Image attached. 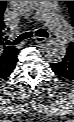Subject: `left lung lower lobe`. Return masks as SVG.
<instances>
[{
  "label": "left lung lower lobe",
  "instance_id": "left-lung-lower-lobe-1",
  "mask_svg": "<svg viewBox=\"0 0 74 122\" xmlns=\"http://www.w3.org/2000/svg\"><path fill=\"white\" fill-rule=\"evenodd\" d=\"M50 65L56 75L74 81V48L69 46L63 60Z\"/></svg>",
  "mask_w": 74,
  "mask_h": 122
}]
</instances>
